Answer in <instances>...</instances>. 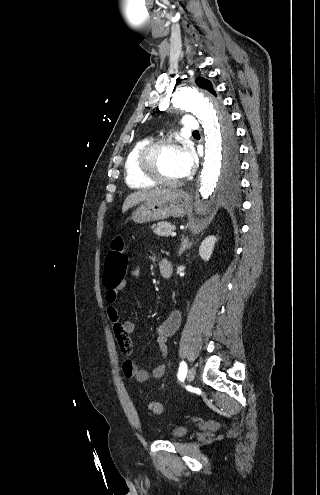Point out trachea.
<instances>
[{"instance_id": "3493384b", "label": "trachea", "mask_w": 320, "mask_h": 495, "mask_svg": "<svg viewBox=\"0 0 320 495\" xmlns=\"http://www.w3.org/2000/svg\"><path fill=\"white\" fill-rule=\"evenodd\" d=\"M193 133H198V131H194Z\"/></svg>"}]
</instances>
